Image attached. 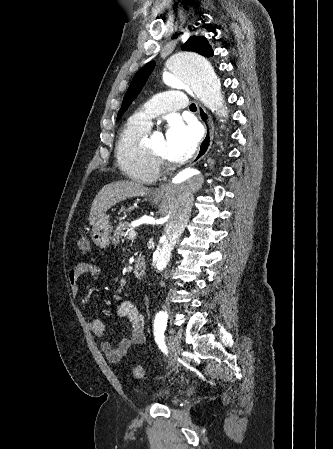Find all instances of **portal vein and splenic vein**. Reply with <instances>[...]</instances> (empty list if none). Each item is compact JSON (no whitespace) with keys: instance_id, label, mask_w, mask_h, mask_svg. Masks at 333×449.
<instances>
[{"instance_id":"obj_1","label":"portal vein and splenic vein","mask_w":333,"mask_h":449,"mask_svg":"<svg viewBox=\"0 0 333 449\" xmlns=\"http://www.w3.org/2000/svg\"><path fill=\"white\" fill-rule=\"evenodd\" d=\"M128 237L130 239H134L136 237V232L134 230L129 231Z\"/></svg>"}]
</instances>
